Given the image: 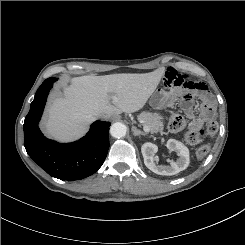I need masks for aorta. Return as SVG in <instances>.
<instances>
[{"instance_id": "1", "label": "aorta", "mask_w": 245, "mask_h": 245, "mask_svg": "<svg viewBox=\"0 0 245 245\" xmlns=\"http://www.w3.org/2000/svg\"><path fill=\"white\" fill-rule=\"evenodd\" d=\"M127 128L121 122L113 123L110 127V134L114 138H121L126 135Z\"/></svg>"}]
</instances>
